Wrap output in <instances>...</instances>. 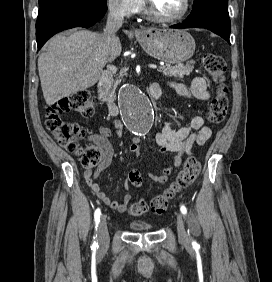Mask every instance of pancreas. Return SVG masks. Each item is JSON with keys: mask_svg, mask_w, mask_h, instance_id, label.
<instances>
[{"mask_svg": "<svg viewBox=\"0 0 272 282\" xmlns=\"http://www.w3.org/2000/svg\"><path fill=\"white\" fill-rule=\"evenodd\" d=\"M194 61L188 62L186 65L183 64H177L175 66H171L170 64H166L165 66H161L159 68V72L163 73L166 77H178L183 78L185 75H189L194 68ZM124 75V72L121 73V76ZM120 79H115L112 81V88H111V96L114 97L115 90L117 85L119 84Z\"/></svg>", "mask_w": 272, "mask_h": 282, "instance_id": "obj_1", "label": "pancreas"}]
</instances>
